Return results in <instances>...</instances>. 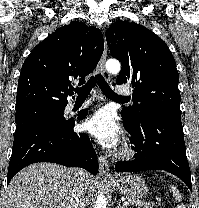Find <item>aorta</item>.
<instances>
[{
  "mask_svg": "<svg viewBox=\"0 0 199 208\" xmlns=\"http://www.w3.org/2000/svg\"><path fill=\"white\" fill-rule=\"evenodd\" d=\"M106 69L111 74H118L121 69L120 62L115 59L108 60L106 62ZM94 208H107V201L104 192H101L97 197Z\"/></svg>",
  "mask_w": 199,
  "mask_h": 208,
  "instance_id": "1",
  "label": "aorta"
}]
</instances>
